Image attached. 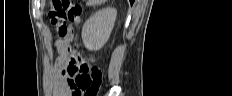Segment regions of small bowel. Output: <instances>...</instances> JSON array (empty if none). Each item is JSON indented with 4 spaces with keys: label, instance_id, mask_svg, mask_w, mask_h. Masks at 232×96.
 Instances as JSON below:
<instances>
[{
    "label": "small bowel",
    "instance_id": "1",
    "mask_svg": "<svg viewBox=\"0 0 232 96\" xmlns=\"http://www.w3.org/2000/svg\"><path fill=\"white\" fill-rule=\"evenodd\" d=\"M70 30H77V25H70ZM67 41L58 44L59 57L55 68V75L52 82L51 92L54 96H75L74 78L75 75L66 72L68 65Z\"/></svg>",
    "mask_w": 232,
    "mask_h": 96
}]
</instances>
